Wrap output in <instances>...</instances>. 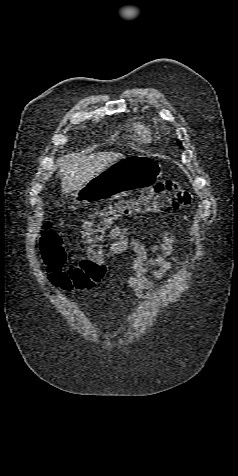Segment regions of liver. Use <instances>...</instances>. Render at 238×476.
<instances>
[{"label":"liver","instance_id":"6515ba94","mask_svg":"<svg viewBox=\"0 0 238 476\" xmlns=\"http://www.w3.org/2000/svg\"><path fill=\"white\" fill-rule=\"evenodd\" d=\"M122 158H124L123 154L115 152H98L89 155L70 154L61 157L58 164L62 192L70 193L79 189Z\"/></svg>","mask_w":238,"mask_h":476}]
</instances>
